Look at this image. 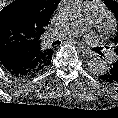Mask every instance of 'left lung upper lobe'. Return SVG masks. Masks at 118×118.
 <instances>
[{"label":"left lung upper lobe","instance_id":"obj_1","mask_svg":"<svg viewBox=\"0 0 118 118\" xmlns=\"http://www.w3.org/2000/svg\"><path fill=\"white\" fill-rule=\"evenodd\" d=\"M104 3L106 6H108V8L112 10V12L115 14L116 19L118 21V2L114 0H104ZM108 48L109 47H107V49ZM111 48H113L114 52L116 53V61L113 64L118 66V32L116 37L113 39V46Z\"/></svg>","mask_w":118,"mask_h":118}]
</instances>
